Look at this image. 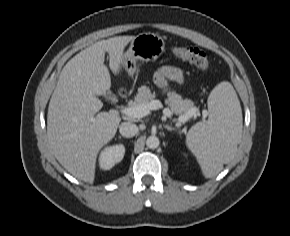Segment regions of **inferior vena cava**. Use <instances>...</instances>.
<instances>
[{"label": "inferior vena cava", "mask_w": 290, "mask_h": 236, "mask_svg": "<svg viewBox=\"0 0 290 236\" xmlns=\"http://www.w3.org/2000/svg\"><path fill=\"white\" fill-rule=\"evenodd\" d=\"M119 132L123 137H133L138 132V127L130 122H123L119 126Z\"/></svg>", "instance_id": "inferior-vena-cava-1"}]
</instances>
